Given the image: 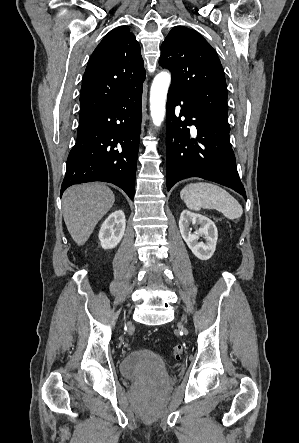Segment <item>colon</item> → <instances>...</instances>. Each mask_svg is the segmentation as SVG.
I'll use <instances>...</instances> for the list:
<instances>
[{"mask_svg": "<svg viewBox=\"0 0 299 443\" xmlns=\"http://www.w3.org/2000/svg\"><path fill=\"white\" fill-rule=\"evenodd\" d=\"M171 353H172V356H174L175 358L179 359L183 355V347L181 345H175L172 348Z\"/></svg>", "mask_w": 299, "mask_h": 443, "instance_id": "colon-1", "label": "colon"}]
</instances>
